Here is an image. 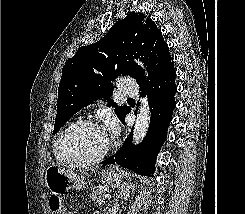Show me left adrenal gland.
Masks as SVG:
<instances>
[{"label":"left adrenal gland","instance_id":"left-adrenal-gland-1","mask_svg":"<svg viewBox=\"0 0 245 214\" xmlns=\"http://www.w3.org/2000/svg\"><path fill=\"white\" fill-rule=\"evenodd\" d=\"M132 184L127 183L125 185H122L119 189H118V193L116 196V201L121 198L123 195H125L126 193H129V189L131 188Z\"/></svg>","mask_w":245,"mask_h":214}]
</instances>
